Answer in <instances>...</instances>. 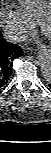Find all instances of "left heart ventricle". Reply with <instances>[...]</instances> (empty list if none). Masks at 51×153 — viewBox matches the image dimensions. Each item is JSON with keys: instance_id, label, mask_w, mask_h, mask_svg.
I'll list each match as a JSON object with an SVG mask.
<instances>
[{"instance_id": "1", "label": "left heart ventricle", "mask_w": 51, "mask_h": 153, "mask_svg": "<svg viewBox=\"0 0 51 153\" xmlns=\"http://www.w3.org/2000/svg\"><path fill=\"white\" fill-rule=\"evenodd\" d=\"M46 31L48 34H51V23L50 22H48L46 25Z\"/></svg>"}]
</instances>
